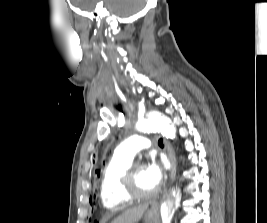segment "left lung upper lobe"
I'll return each mask as SVG.
<instances>
[{"label": "left lung upper lobe", "instance_id": "5c2ea615", "mask_svg": "<svg viewBox=\"0 0 267 223\" xmlns=\"http://www.w3.org/2000/svg\"><path fill=\"white\" fill-rule=\"evenodd\" d=\"M96 173L99 175L100 170H96ZM91 214H98V209H91Z\"/></svg>", "mask_w": 267, "mask_h": 223}]
</instances>
